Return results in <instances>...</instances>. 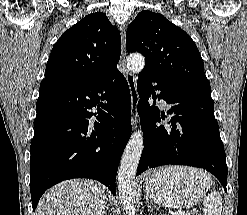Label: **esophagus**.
Returning a JSON list of instances; mask_svg holds the SVG:
<instances>
[{"label":"esophagus","instance_id":"esophagus-1","mask_svg":"<svg viewBox=\"0 0 247 215\" xmlns=\"http://www.w3.org/2000/svg\"><path fill=\"white\" fill-rule=\"evenodd\" d=\"M125 56H126V41H125V35L122 33V52H121V63L125 64ZM126 81L129 86L130 95H131V122L133 127L135 128L138 122V112H137V105L139 101V95L137 92V80L134 74L127 71L125 73Z\"/></svg>","mask_w":247,"mask_h":215}]
</instances>
